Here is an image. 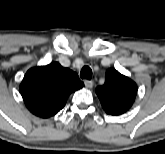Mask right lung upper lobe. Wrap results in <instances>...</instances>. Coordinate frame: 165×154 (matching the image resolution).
<instances>
[{"instance_id":"obj_1","label":"right lung upper lobe","mask_w":165,"mask_h":154,"mask_svg":"<svg viewBox=\"0 0 165 154\" xmlns=\"http://www.w3.org/2000/svg\"><path fill=\"white\" fill-rule=\"evenodd\" d=\"M83 85L75 72L52 62L28 70L20 92L33 114L48 118L58 113L65 106L68 96Z\"/></svg>"}]
</instances>
